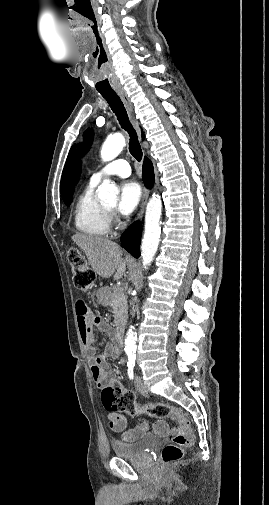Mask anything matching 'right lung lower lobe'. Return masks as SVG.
<instances>
[{"label":"right lung lower lobe","instance_id":"obj_1","mask_svg":"<svg viewBox=\"0 0 269 505\" xmlns=\"http://www.w3.org/2000/svg\"><path fill=\"white\" fill-rule=\"evenodd\" d=\"M142 169L143 181L147 187L151 188L154 183V170L152 162L147 157L144 158ZM140 237L141 226L139 222L133 223L121 236L123 247L136 258L140 256Z\"/></svg>","mask_w":269,"mask_h":505}]
</instances>
